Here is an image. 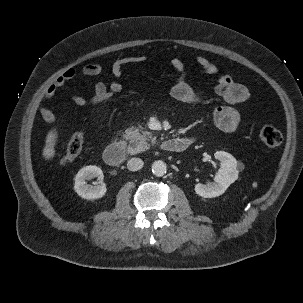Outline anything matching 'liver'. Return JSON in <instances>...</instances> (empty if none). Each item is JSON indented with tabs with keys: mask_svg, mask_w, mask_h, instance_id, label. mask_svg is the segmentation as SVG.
<instances>
[{
	"mask_svg": "<svg viewBox=\"0 0 303 303\" xmlns=\"http://www.w3.org/2000/svg\"><path fill=\"white\" fill-rule=\"evenodd\" d=\"M57 139H58L57 130L55 128L51 129L46 136L45 146L42 152L43 158L45 160H50L53 157H55L56 154L55 146L57 144Z\"/></svg>",
	"mask_w": 303,
	"mask_h": 303,
	"instance_id": "obj_1",
	"label": "liver"
}]
</instances>
